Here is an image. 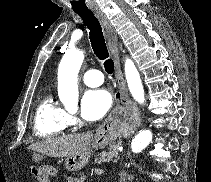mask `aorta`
Instances as JSON below:
<instances>
[{"instance_id":"1","label":"aorta","mask_w":211,"mask_h":182,"mask_svg":"<svg viewBox=\"0 0 211 182\" xmlns=\"http://www.w3.org/2000/svg\"><path fill=\"white\" fill-rule=\"evenodd\" d=\"M84 60L82 51H68L63 56L58 68V95L63 105L77 108L78 105V72ZM125 77L129 91L136 102L145 103L144 88L140 74L131 59L125 61ZM152 141L150 130H141L132 140L131 149L133 153H140Z\"/></svg>"}]
</instances>
